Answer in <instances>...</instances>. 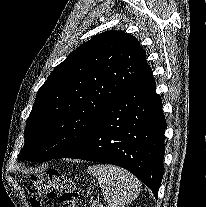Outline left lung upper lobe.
Wrapping results in <instances>:
<instances>
[{
	"instance_id": "5c2ea615",
	"label": "left lung upper lobe",
	"mask_w": 206,
	"mask_h": 207,
	"mask_svg": "<svg viewBox=\"0 0 206 207\" xmlns=\"http://www.w3.org/2000/svg\"><path fill=\"white\" fill-rule=\"evenodd\" d=\"M146 66L144 50L128 33L111 30L83 43L38 90L19 160L65 158L80 149Z\"/></svg>"
}]
</instances>
